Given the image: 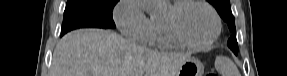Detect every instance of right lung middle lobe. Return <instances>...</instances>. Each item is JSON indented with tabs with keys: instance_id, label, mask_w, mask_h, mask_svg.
I'll use <instances>...</instances> for the list:
<instances>
[{
	"instance_id": "right-lung-middle-lobe-1",
	"label": "right lung middle lobe",
	"mask_w": 287,
	"mask_h": 76,
	"mask_svg": "<svg viewBox=\"0 0 287 76\" xmlns=\"http://www.w3.org/2000/svg\"><path fill=\"white\" fill-rule=\"evenodd\" d=\"M119 0H68L61 35L78 28L114 29L112 10Z\"/></svg>"
}]
</instances>
